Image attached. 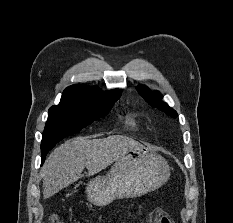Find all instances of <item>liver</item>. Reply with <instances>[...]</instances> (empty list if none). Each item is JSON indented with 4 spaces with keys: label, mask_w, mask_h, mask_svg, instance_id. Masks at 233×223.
I'll return each instance as SVG.
<instances>
[{
    "label": "liver",
    "mask_w": 233,
    "mask_h": 223,
    "mask_svg": "<svg viewBox=\"0 0 233 223\" xmlns=\"http://www.w3.org/2000/svg\"><path fill=\"white\" fill-rule=\"evenodd\" d=\"M137 145L136 139L126 135H108L103 139L75 137L73 141L61 143L50 153L41 169L44 199L78 181L83 177L84 167L88 169V175L99 173Z\"/></svg>",
    "instance_id": "1"
}]
</instances>
